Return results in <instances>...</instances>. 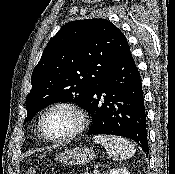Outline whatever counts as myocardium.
Segmentation results:
<instances>
[{"mask_svg":"<svg viewBox=\"0 0 175 174\" xmlns=\"http://www.w3.org/2000/svg\"><path fill=\"white\" fill-rule=\"evenodd\" d=\"M60 108L71 111L76 116L77 124H76V127L73 129V131H71L69 134L60 138H52L46 135V133L44 132L43 122L48 113H50L55 109H60ZM87 122H88V119H87L86 112L80 105L71 101H60L52 104L42 113L38 122V131L40 136L48 142L64 143L72 140L73 138L81 134L86 128Z\"/></svg>","mask_w":175,"mask_h":174,"instance_id":"myocardium-1","label":"myocardium"}]
</instances>
